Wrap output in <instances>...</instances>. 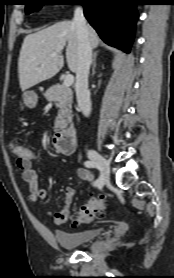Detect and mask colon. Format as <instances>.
<instances>
[{
	"mask_svg": "<svg viewBox=\"0 0 174 278\" xmlns=\"http://www.w3.org/2000/svg\"><path fill=\"white\" fill-rule=\"evenodd\" d=\"M12 152L19 159L35 158V152L27 146L13 145ZM105 209V203L101 198H91L85 204L77 207L73 211L74 224L89 222L102 215Z\"/></svg>",
	"mask_w": 174,
	"mask_h": 278,
	"instance_id": "5ec220e1",
	"label": "colon"
}]
</instances>
